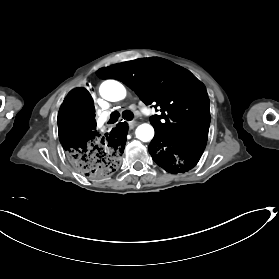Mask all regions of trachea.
Instances as JSON below:
<instances>
[{
  "instance_id": "obj_1",
  "label": "trachea",
  "mask_w": 279,
  "mask_h": 279,
  "mask_svg": "<svg viewBox=\"0 0 279 279\" xmlns=\"http://www.w3.org/2000/svg\"><path fill=\"white\" fill-rule=\"evenodd\" d=\"M122 116L125 120H132L133 119V113L130 110H125L122 112V115L118 111H114L110 115V120L108 123H115L119 119V117Z\"/></svg>"
}]
</instances>
